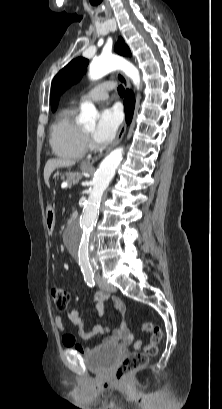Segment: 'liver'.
<instances>
[{"label":"liver","instance_id":"1","mask_svg":"<svg viewBox=\"0 0 222 409\" xmlns=\"http://www.w3.org/2000/svg\"><path fill=\"white\" fill-rule=\"evenodd\" d=\"M74 160L66 159V158H55V159H49L44 167V180L46 185L49 187V178L52 174V172L60 167H70L75 165Z\"/></svg>","mask_w":222,"mask_h":409}]
</instances>
